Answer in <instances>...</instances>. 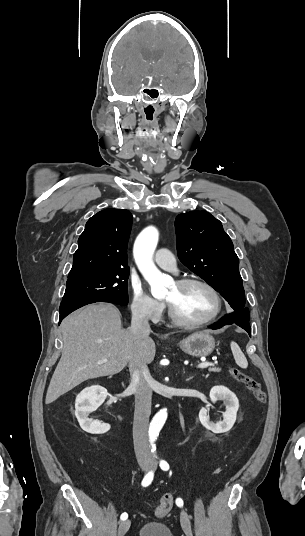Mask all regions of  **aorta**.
I'll list each match as a JSON object with an SVG mask.
<instances>
[{
	"mask_svg": "<svg viewBox=\"0 0 305 536\" xmlns=\"http://www.w3.org/2000/svg\"><path fill=\"white\" fill-rule=\"evenodd\" d=\"M158 238V230L155 227H147L138 235L134 244L133 254L138 269L151 287V294L155 298H162L166 295L171 280L162 274L153 262V254ZM167 415V409L158 411L153 417L152 428L160 430L167 419Z\"/></svg>",
	"mask_w": 305,
	"mask_h": 536,
	"instance_id": "aorta-1",
	"label": "aorta"
}]
</instances>
